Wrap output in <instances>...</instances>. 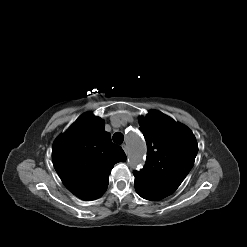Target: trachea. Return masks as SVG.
<instances>
[{
    "label": "trachea",
    "instance_id": "obj_1",
    "mask_svg": "<svg viewBox=\"0 0 247 247\" xmlns=\"http://www.w3.org/2000/svg\"><path fill=\"white\" fill-rule=\"evenodd\" d=\"M113 141L117 144H122L123 140H124V135L120 132H117L113 135Z\"/></svg>",
    "mask_w": 247,
    "mask_h": 247
}]
</instances>
